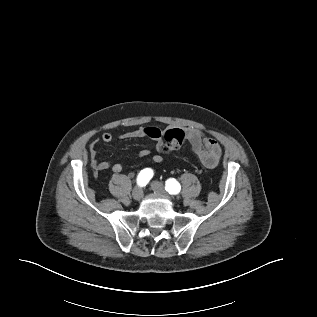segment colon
Returning <instances> with one entry per match:
<instances>
[{"label": "colon", "instance_id": "5ec220e1", "mask_svg": "<svg viewBox=\"0 0 317 317\" xmlns=\"http://www.w3.org/2000/svg\"><path fill=\"white\" fill-rule=\"evenodd\" d=\"M186 140V134L182 129L173 128L162 133L163 152H171L181 148Z\"/></svg>", "mask_w": 317, "mask_h": 317}]
</instances>
